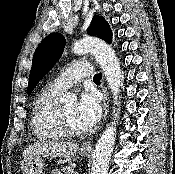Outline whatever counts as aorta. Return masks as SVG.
Returning a JSON list of instances; mask_svg holds the SVG:
<instances>
[{
    "label": "aorta",
    "instance_id": "1",
    "mask_svg": "<svg viewBox=\"0 0 175 174\" xmlns=\"http://www.w3.org/2000/svg\"><path fill=\"white\" fill-rule=\"evenodd\" d=\"M72 52L75 54L93 53L96 61L103 70L108 87L113 93L114 104L119 105L120 103L117 99L120 87L122 86V75L120 63L114 50L101 39L85 37L73 44ZM60 100L63 103H73L76 101V96L71 93H65L61 96ZM115 137L116 122L113 121L106 127L96 143L91 174H107L109 160L115 144Z\"/></svg>",
    "mask_w": 175,
    "mask_h": 174
}]
</instances>
